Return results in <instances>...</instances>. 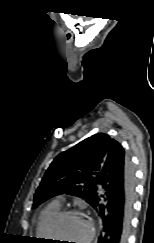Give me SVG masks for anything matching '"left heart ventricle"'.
Returning <instances> with one entry per match:
<instances>
[{
  "label": "left heart ventricle",
  "mask_w": 154,
  "mask_h": 243,
  "mask_svg": "<svg viewBox=\"0 0 154 243\" xmlns=\"http://www.w3.org/2000/svg\"><path fill=\"white\" fill-rule=\"evenodd\" d=\"M88 220L80 215H71L64 218L58 225L55 235L63 239L62 243L73 240L75 243H83L89 232Z\"/></svg>",
  "instance_id": "1"
}]
</instances>
